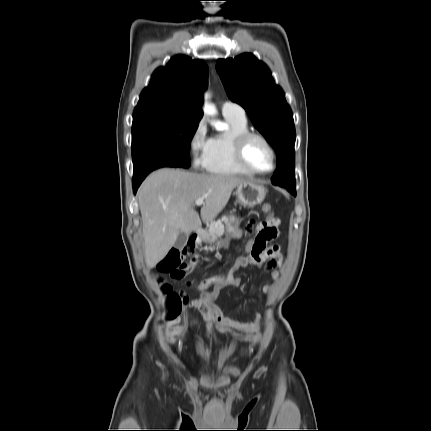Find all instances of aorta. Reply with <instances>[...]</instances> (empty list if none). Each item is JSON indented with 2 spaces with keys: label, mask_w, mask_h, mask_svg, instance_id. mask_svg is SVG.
Listing matches in <instances>:
<instances>
[{
  "label": "aorta",
  "mask_w": 431,
  "mask_h": 431,
  "mask_svg": "<svg viewBox=\"0 0 431 431\" xmlns=\"http://www.w3.org/2000/svg\"><path fill=\"white\" fill-rule=\"evenodd\" d=\"M204 111L210 115H213L215 113V110L208 104H205ZM215 126L217 129H223L224 128V125L222 123H219V122L216 123Z\"/></svg>",
  "instance_id": "1"
}]
</instances>
